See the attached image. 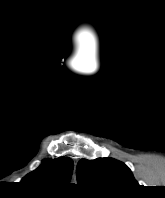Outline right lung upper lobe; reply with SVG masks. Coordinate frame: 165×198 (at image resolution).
Segmentation results:
<instances>
[{"instance_id": "1", "label": "right lung upper lobe", "mask_w": 165, "mask_h": 198, "mask_svg": "<svg viewBox=\"0 0 165 198\" xmlns=\"http://www.w3.org/2000/svg\"><path fill=\"white\" fill-rule=\"evenodd\" d=\"M74 162L68 157L44 159L42 164L22 179L32 186L53 187L68 184L73 172Z\"/></svg>"}]
</instances>
